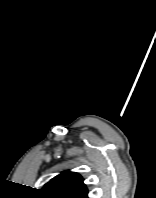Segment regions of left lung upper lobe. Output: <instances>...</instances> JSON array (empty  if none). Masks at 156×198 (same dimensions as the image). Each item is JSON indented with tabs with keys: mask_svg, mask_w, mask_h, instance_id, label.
<instances>
[{
	"mask_svg": "<svg viewBox=\"0 0 156 198\" xmlns=\"http://www.w3.org/2000/svg\"><path fill=\"white\" fill-rule=\"evenodd\" d=\"M44 198H88L83 178L70 171L62 172L51 179L41 190Z\"/></svg>",
	"mask_w": 156,
	"mask_h": 198,
	"instance_id": "obj_1",
	"label": "left lung upper lobe"
}]
</instances>
